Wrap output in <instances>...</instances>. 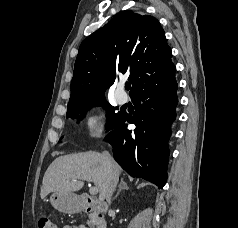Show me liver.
<instances>
[{"label": "liver", "instance_id": "6515ba94", "mask_svg": "<svg viewBox=\"0 0 238 228\" xmlns=\"http://www.w3.org/2000/svg\"><path fill=\"white\" fill-rule=\"evenodd\" d=\"M114 172L119 177L120 167L114 162ZM83 177H89L99 192V200L106 198V188L110 179V171L103 154L88 151L64 155L56 158L46 170L41 188V199L51 192L79 191L84 182Z\"/></svg>", "mask_w": 238, "mask_h": 228}]
</instances>
